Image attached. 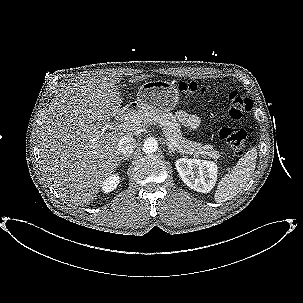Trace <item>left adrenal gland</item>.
I'll return each mask as SVG.
<instances>
[{
	"label": "left adrenal gland",
	"mask_w": 303,
	"mask_h": 303,
	"mask_svg": "<svg viewBox=\"0 0 303 303\" xmlns=\"http://www.w3.org/2000/svg\"><path fill=\"white\" fill-rule=\"evenodd\" d=\"M166 145H167L168 150H169L171 155H172V153L180 152L177 148L173 147L169 142H166Z\"/></svg>",
	"instance_id": "1"
}]
</instances>
